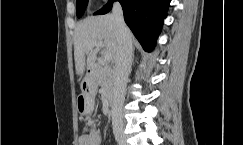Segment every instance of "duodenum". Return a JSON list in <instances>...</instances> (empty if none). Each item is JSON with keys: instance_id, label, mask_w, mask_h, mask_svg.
<instances>
[{"instance_id": "410a0bca", "label": "duodenum", "mask_w": 243, "mask_h": 145, "mask_svg": "<svg viewBox=\"0 0 243 145\" xmlns=\"http://www.w3.org/2000/svg\"><path fill=\"white\" fill-rule=\"evenodd\" d=\"M95 73H96V69L94 67H92L89 70V82L92 83L94 81ZM107 103H108L109 108L112 109L114 106V98L112 96L109 97Z\"/></svg>"}]
</instances>
